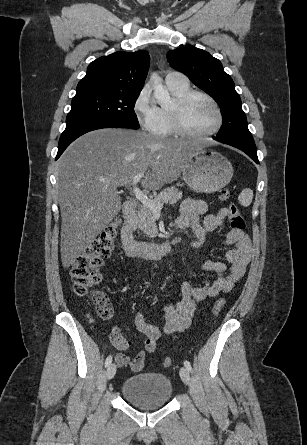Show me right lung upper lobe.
<instances>
[{
  "label": "right lung upper lobe",
  "mask_w": 307,
  "mask_h": 445,
  "mask_svg": "<svg viewBox=\"0 0 307 445\" xmlns=\"http://www.w3.org/2000/svg\"><path fill=\"white\" fill-rule=\"evenodd\" d=\"M147 51L116 52L91 62L76 95H139L149 69Z\"/></svg>",
  "instance_id": "cb5924a9"
}]
</instances>
